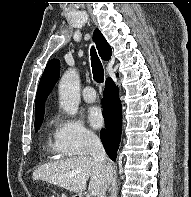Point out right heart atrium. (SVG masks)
I'll list each match as a JSON object with an SVG mask.
<instances>
[{"label": "right heart atrium", "instance_id": "right-heart-atrium-1", "mask_svg": "<svg viewBox=\"0 0 191 197\" xmlns=\"http://www.w3.org/2000/svg\"><path fill=\"white\" fill-rule=\"evenodd\" d=\"M97 135L76 119L59 118L55 132L57 151L63 156L86 153L96 144Z\"/></svg>", "mask_w": 191, "mask_h": 197}]
</instances>
